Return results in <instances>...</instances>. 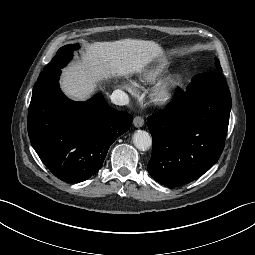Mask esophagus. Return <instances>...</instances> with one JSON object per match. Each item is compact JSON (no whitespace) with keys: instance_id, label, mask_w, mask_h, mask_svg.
I'll list each match as a JSON object with an SVG mask.
<instances>
[{"instance_id":"esophagus-1","label":"esophagus","mask_w":255,"mask_h":255,"mask_svg":"<svg viewBox=\"0 0 255 255\" xmlns=\"http://www.w3.org/2000/svg\"><path fill=\"white\" fill-rule=\"evenodd\" d=\"M133 124L137 128L142 127L144 125V119L140 116H136L133 120Z\"/></svg>"}]
</instances>
